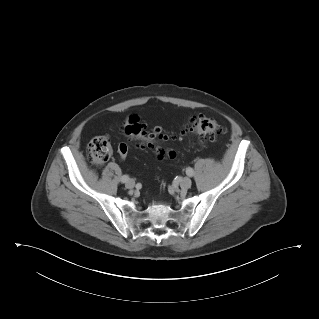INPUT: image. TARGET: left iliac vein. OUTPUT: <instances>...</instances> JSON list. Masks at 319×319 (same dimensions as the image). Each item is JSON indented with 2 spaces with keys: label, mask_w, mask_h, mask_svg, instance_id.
<instances>
[{
  "label": "left iliac vein",
  "mask_w": 319,
  "mask_h": 319,
  "mask_svg": "<svg viewBox=\"0 0 319 319\" xmlns=\"http://www.w3.org/2000/svg\"><path fill=\"white\" fill-rule=\"evenodd\" d=\"M191 184H192L191 179L188 177H184L180 181V185L183 189H189L191 187Z\"/></svg>",
  "instance_id": "1"
}]
</instances>
